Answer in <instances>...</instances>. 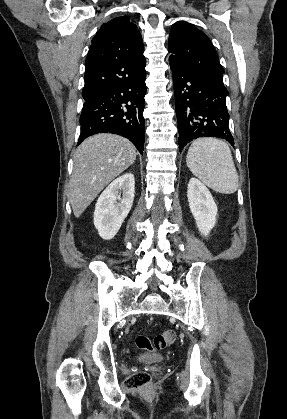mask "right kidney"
<instances>
[{
	"label": "right kidney",
	"instance_id": "ca27d5eb",
	"mask_svg": "<svg viewBox=\"0 0 287 419\" xmlns=\"http://www.w3.org/2000/svg\"><path fill=\"white\" fill-rule=\"evenodd\" d=\"M134 193L135 181L131 173L115 179L102 192L94 211V225L102 239L110 240L117 234L131 210Z\"/></svg>",
	"mask_w": 287,
	"mask_h": 419
}]
</instances>
